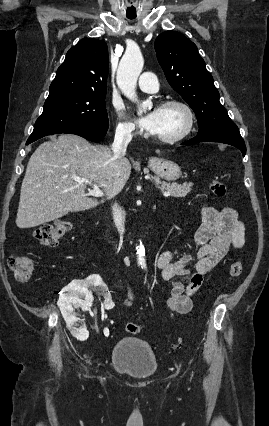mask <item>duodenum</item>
Returning a JSON list of instances; mask_svg holds the SVG:
<instances>
[{
	"instance_id": "obj_1",
	"label": "duodenum",
	"mask_w": 269,
	"mask_h": 426,
	"mask_svg": "<svg viewBox=\"0 0 269 426\" xmlns=\"http://www.w3.org/2000/svg\"><path fill=\"white\" fill-rule=\"evenodd\" d=\"M102 233H103V235H104V237L107 241H109V242L114 241L113 235L108 230H102Z\"/></svg>"
}]
</instances>
